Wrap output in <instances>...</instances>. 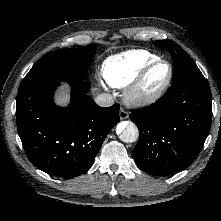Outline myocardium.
<instances>
[{
	"instance_id": "myocardium-1",
	"label": "myocardium",
	"mask_w": 221,
	"mask_h": 221,
	"mask_svg": "<svg viewBox=\"0 0 221 221\" xmlns=\"http://www.w3.org/2000/svg\"><path fill=\"white\" fill-rule=\"evenodd\" d=\"M165 64L168 72L163 83L153 90L146 89L145 83L150 72L158 65ZM173 78L172 65L164 59H156L146 65L133 82L129 85L126 91V100L134 106H148L158 101L169 88Z\"/></svg>"
}]
</instances>
